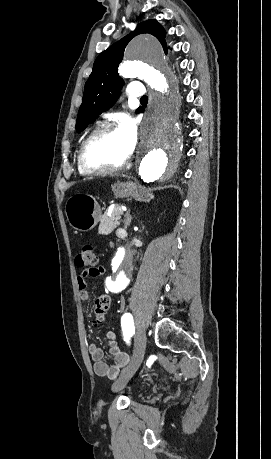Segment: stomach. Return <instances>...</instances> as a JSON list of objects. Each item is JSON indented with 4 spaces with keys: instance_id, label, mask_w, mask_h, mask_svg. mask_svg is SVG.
<instances>
[{
    "instance_id": "obj_1",
    "label": "stomach",
    "mask_w": 271,
    "mask_h": 459,
    "mask_svg": "<svg viewBox=\"0 0 271 459\" xmlns=\"http://www.w3.org/2000/svg\"><path fill=\"white\" fill-rule=\"evenodd\" d=\"M112 192L116 198H135L138 202H149L153 196L149 188L139 186L138 182H117ZM66 218L71 228L77 231H89L101 220V210L92 196L76 194L69 198L65 208Z\"/></svg>"
}]
</instances>
